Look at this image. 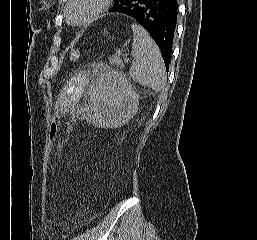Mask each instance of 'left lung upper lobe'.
Returning <instances> with one entry per match:
<instances>
[{"instance_id": "1", "label": "left lung upper lobe", "mask_w": 257, "mask_h": 240, "mask_svg": "<svg viewBox=\"0 0 257 240\" xmlns=\"http://www.w3.org/2000/svg\"><path fill=\"white\" fill-rule=\"evenodd\" d=\"M122 1H123V0H114V4H113V7H112V8L118 6Z\"/></svg>"}]
</instances>
